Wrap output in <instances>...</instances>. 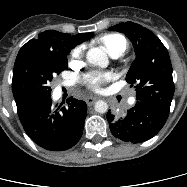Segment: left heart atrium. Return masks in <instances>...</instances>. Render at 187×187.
Masks as SVG:
<instances>
[{
    "mask_svg": "<svg viewBox=\"0 0 187 187\" xmlns=\"http://www.w3.org/2000/svg\"><path fill=\"white\" fill-rule=\"evenodd\" d=\"M111 79V75L108 73L105 74H96L91 76L87 80V85L89 88H91L94 91L100 90V87L103 83L109 81Z\"/></svg>",
    "mask_w": 187,
    "mask_h": 187,
    "instance_id": "39dd6f15",
    "label": "left heart atrium"
}]
</instances>
